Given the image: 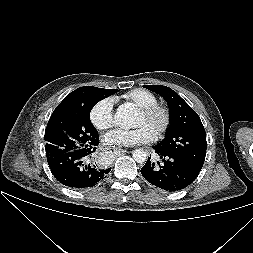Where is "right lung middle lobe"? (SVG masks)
Instances as JSON below:
<instances>
[{
  "mask_svg": "<svg viewBox=\"0 0 253 253\" xmlns=\"http://www.w3.org/2000/svg\"><path fill=\"white\" fill-rule=\"evenodd\" d=\"M116 92L117 89L84 86L68 94L64 104L54 110L46 127L47 157L88 148L98 138L90 122V111L97 102Z\"/></svg>",
  "mask_w": 253,
  "mask_h": 253,
  "instance_id": "1",
  "label": "right lung middle lobe"
}]
</instances>
